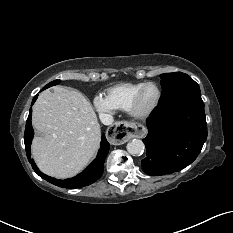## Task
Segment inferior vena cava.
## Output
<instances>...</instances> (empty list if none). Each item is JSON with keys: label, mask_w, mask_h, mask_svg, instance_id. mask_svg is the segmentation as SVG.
Instances as JSON below:
<instances>
[{"label": "inferior vena cava", "mask_w": 233, "mask_h": 233, "mask_svg": "<svg viewBox=\"0 0 233 233\" xmlns=\"http://www.w3.org/2000/svg\"><path fill=\"white\" fill-rule=\"evenodd\" d=\"M99 117L104 125H111L114 121L113 116L110 114L101 113Z\"/></svg>", "instance_id": "1"}]
</instances>
